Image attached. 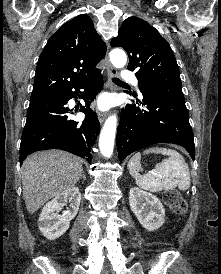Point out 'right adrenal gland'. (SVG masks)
I'll list each match as a JSON object with an SVG mask.
<instances>
[{
	"instance_id": "obj_1",
	"label": "right adrenal gland",
	"mask_w": 221,
	"mask_h": 274,
	"mask_svg": "<svg viewBox=\"0 0 221 274\" xmlns=\"http://www.w3.org/2000/svg\"><path fill=\"white\" fill-rule=\"evenodd\" d=\"M81 179L86 180V175H85V172H84V171H83V173H82Z\"/></svg>"
}]
</instances>
